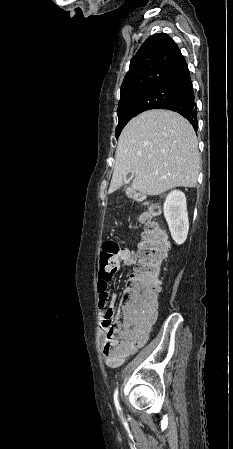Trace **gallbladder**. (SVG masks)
<instances>
[{"label": "gallbladder", "instance_id": "bac80fb5", "mask_svg": "<svg viewBox=\"0 0 233 449\" xmlns=\"http://www.w3.org/2000/svg\"><path fill=\"white\" fill-rule=\"evenodd\" d=\"M130 179H131V177H127V178L125 179V183L127 184V183L130 181Z\"/></svg>", "mask_w": 233, "mask_h": 449}]
</instances>
